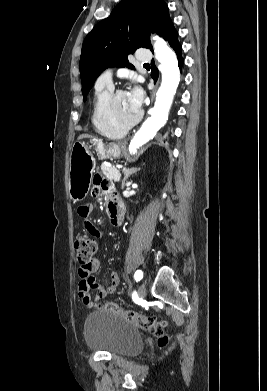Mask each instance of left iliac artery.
<instances>
[{
    "label": "left iliac artery",
    "mask_w": 267,
    "mask_h": 391,
    "mask_svg": "<svg viewBox=\"0 0 267 391\" xmlns=\"http://www.w3.org/2000/svg\"><path fill=\"white\" fill-rule=\"evenodd\" d=\"M135 280L138 282L143 278V272L141 270H137L134 275Z\"/></svg>",
    "instance_id": "44dca946"
}]
</instances>
